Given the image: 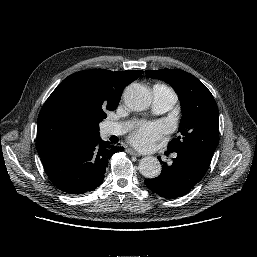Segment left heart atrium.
<instances>
[{"label":"left heart atrium","mask_w":257,"mask_h":257,"mask_svg":"<svg viewBox=\"0 0 257 257\" xmlns=\"http://www.w3.org/2000/svg\"><path fill=\"white\" fill-rule=\"evenodd\" d=\"M164 132L162 124L141 123L130 134L129 140L137 148L150 149L163 137Z\"/></svg>","instance_id":"1"}]
</instances>
